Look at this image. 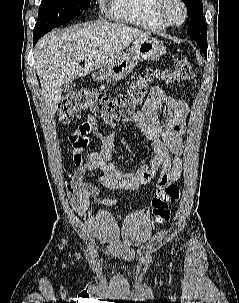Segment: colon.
Here are the masks:
<instances>
[{
  "label": "colon",
  "mask_w": 239,
  "mask_h": 303,
  "mask_svg": "<svg viewBox=\"0 0 239 303\" xmlns=\"http://www.w3.org/2000/svg\"><path fill=\"white\" fill-rule=\"evenodd\" d=\"M194 69L186 57L177 58L174 65L164 78L167 82L178 84L190 80ZM152 73L146 72L133 80L126 90L115 97H109L99 89H79L67 93L61 100L59 111L63 122H71L84 112H91L96 117L107 122L133 116L143 103L147 94ZM69 194L73 193L72 185L67 186ZM180 192L176 185L171 184L156 191L152 199V215L156 222L163 223L170 218V204L176 203Z\"/></svg>",
  "instance_id": "1"
}]
</instances>
